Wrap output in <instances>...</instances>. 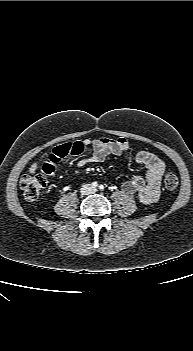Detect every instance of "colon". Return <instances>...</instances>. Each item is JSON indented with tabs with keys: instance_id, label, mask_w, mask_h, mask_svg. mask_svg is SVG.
Returning <instances> with one entry per match:
<instances>
[{
	"instance_id": "obj_1",
	"label": "colon",
	"mask_w": 193,
	"mask_h": 351,
	"mask_svg": "<svg viewBox=\"0 0 193 351\" xmlns=\"http://www.w3.org/2000/svg\"><path fill=\"white\" fill-rule=\"evenodd\" d=\"M163 183L167 189L173 190L177 188L179 179L174 172L167 171L163 176ZM46 184L47 179L42 174L23 176L20 181V188L25 200L29 202L36 201L42 194Z\"/></svg>"
}]
</instances>
